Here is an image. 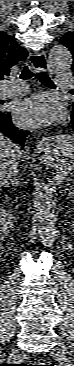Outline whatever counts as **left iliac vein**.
<instances>
[{"label": "left iliac vein", "mask_w": 74, "mask_h": 366, "mask_svg": "<svg viewBox=\"0 0 74 366\" xmlns=\"http://www.w3.org/2000/svg\"><path fill=\"white\" fill-rule=\"evenodd\" d=\"M57 350L61 353V354H65V352H66V347H65V345L63 344V343H59L58 344V348H57Z\"/></svg>", "instance_id": "1"}]
</instances>
